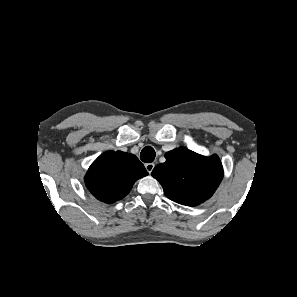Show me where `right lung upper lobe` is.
<instances>
[{
	"instance_id": "cb5924a9",
	"label": "right lung upper lobe",
	"mask_w": 297,
	"mask_h": 297,
	"mask_svg": "<svg viewBox=\"0 0 297 297\" xmlns=\"http://www.w3.org/2000/svg\"><path fill=\"white\" fill-rule=\"evenodd\" d=\"M146 175L148 172L135 155L108 151L89 167L85 184L95 198L113 203L125 197L135 181Z\"/></svg>"
}]
</instances>
